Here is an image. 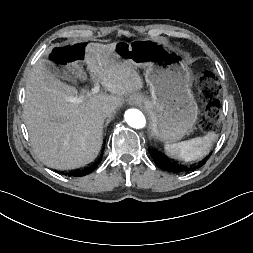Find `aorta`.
Returning <instances> with one entry per match:
<instances>
[{"label": "aorta", "instance_id": "obj_1", "mask_svg": "<svg viewBox=\"0 0 253 253\" xmlns=\"http://www.w3.org/2000/svg\"><path fill=\"white\" fill-rule=\"evenodd\" d=\"M124 118L126 123L135 129L144 128L146 125L145 116L138 109H128L124 114Z\"/></svg>", "mask_w": 253, "mask_h": 253}]
</instances>
